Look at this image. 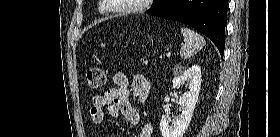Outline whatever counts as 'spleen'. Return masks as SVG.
<instances>
[{"instance_id": "obj_1", "label": "spleen", "mask_w": 280, "mask_h": 137, "mask_svg": "<svg viewBox=\"0 0 280 137\" xmlns=\"http://www.w3.org/2000/svg\"><path fill=\"white\" fill-rule=\"evenodd\" d=\"M180 31L184 37V45L181 47L180 55L187 59L205 45V40L200 34L187 27H182Z\"/></svg>"}]
</instances>
